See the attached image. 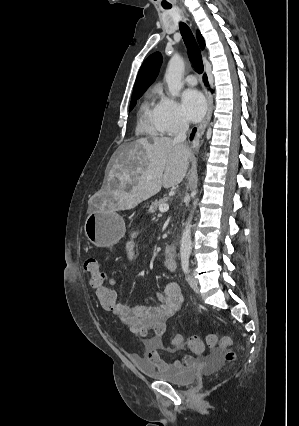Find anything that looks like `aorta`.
<instances>
[{
    "mask_svg": "<svg viewBox=\"0 0 299 426\" xmlns=\"http://www.w3.org/2000/svg\"><path fill=\"white\" fill-rule=\"evenodd\" d=\"M184 60L178 55L174 54L169 60L165 80L168 86L169 93L173 97H177L180 94L181 89L183 88L182 76L184 73ZM194 195H197V191L194 192ZM198 203V198H195L193 202V207L191 213L188 217V220L185 224L183 234L181 237V247H180V257L182 262H188L190 253H191V221L193 217L194 210L196 209Z\"/></svg>",
    "mask_w": 299,
    "mask_h": 426,
    "instance_id": "762f6f07",
    "label": "aorta"
}]
</instances>
